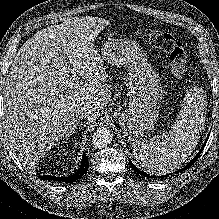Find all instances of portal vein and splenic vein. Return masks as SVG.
I'll return each instance as SVG.
<instances>
[{
  "instance_id": "portal-vein-and-splenic-vein-1",
  "label": "portal vein and splenic vein",
  "mask_w": 219,
  "mask_h": 219,
  "mask_svg": "<svg viewBox=\"0 0 219 219\" xmlns=\"http://www.w3.org/2000/svg\"><path fill=\"white\" fill-rule=\"evenodd\" d=\"M78 76L76 75V73H73V76H72V81L76 82L78 81Z\"/></svg>"
}]
</instances>
